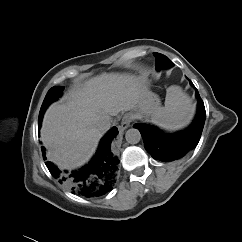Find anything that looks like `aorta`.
Returning <instances> with one entry per match:
<instances>
[{
  "mask_svg": "<svg viewBox=\"0 0 242 242\" xmlns=\"http://www.w3.org/2000/svg\"><path fill=\"white\" fill-rule=\"evenodd\" d=\"M125 138L129 144H137L141 140V134L137 129H129L125 134Z\"/></svg>",
  "mask_w": 242,
  "mask_h": 242,
  "instance_id": "obj_1",
  "label": "aorta"
}]
</instances>
